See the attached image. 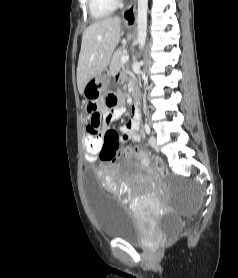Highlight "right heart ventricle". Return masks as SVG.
I'll list each match as a JSON object with an SVG mask.
<instances>
[{"label":"right heart ventricle","mask_w":238,"mask_h":278,"mask_svg":"<svg viewBox=\"0 0 238 278\" xmlns=\"http://www.w3.org/2000/svg\"><path fill=\"white\" fill-rule=\"evenodd\" d=\"M116 5L114 0H88L89 12L94 20H101L110 16Z\"/></svg>","instance_id":"e07e8e85"}]
</instances>
